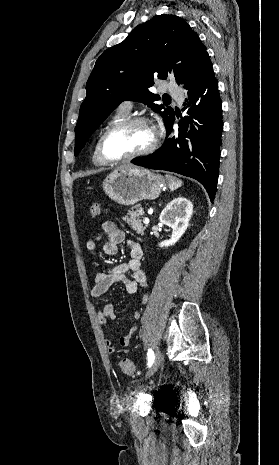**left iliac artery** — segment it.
<instances>
[{"label":"left iliac artery","instance_id":"obj_1","mask_svg":"<svg viewBox=\"0 0 279 465\" xmlns=\"http://www.w3.org/2000/svg\"><path fill=\"white\" fill-rule=\"evenodd\" d=\"M147 357H148V366L150 367L153 362H154V352L152 351V349H148V353H147Z\"/></svg>","mask_w":279,"mask_h":465}]
</instances>
